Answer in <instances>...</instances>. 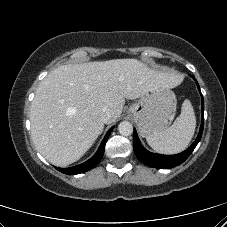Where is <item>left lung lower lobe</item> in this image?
Segmentation results:
<instances>
[{
	"label": "left lung lower lobe",
	"mask_w": 227,
	"mask_h": 227,
	"mask_svg": "<svg viewBox=\"0 0 227 227\" xmlns=\"http://www.w3.org/2000/svg\"><path fill=\"white\" fill-rule=\"evenodd\" d=\"M193 78V77H192ZM194 79V78H193ZM195 80V79H194ZM197 87L200 91V87L198 82L195 80ZM201 94V91H200ZM202 97V122H201V126H200V131L199 134L196 138V140L194 141V143L185 151H183L182 153L176 154V155H162V154H155V153H151L149 151H147L140 143L138 135L136 130L134 129V136H133V148H134V152L136 154V156L138 157V159L145 164L146 166L149 167H153V168H157V169H166V168H172L175 166L180 165L181 163H183L189 156L190 154L193 152V150L195 149L196 145L199 143L201 136H202V132H203V127H204V100H203V96L201 94Z\"/></svg>",
	"instance_id": "obj_1"
}]
</instances>
